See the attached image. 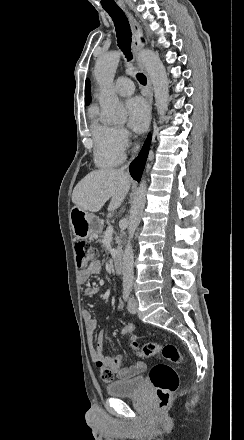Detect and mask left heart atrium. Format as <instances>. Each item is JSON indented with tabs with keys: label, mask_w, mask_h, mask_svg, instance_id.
<instances>
[{
	"label": "left heart atrium",
	"mask_w": 244,
	"mask_h": 440,
	"mask_svg": "<svg viewBox=\"0 0 244 440\" xmlns=\"http://www.w3.org/2000/svg\"><path fill=\"white\" fill-rule=\"evenodd\" d=\"M127 111L129 115V126L136 132L144 131L150 118V112L146 102L139 97L132 98L127 102Z\"/></svg>",
	"instance_id": "left-heart-atrium-1"
}]
</instances>
